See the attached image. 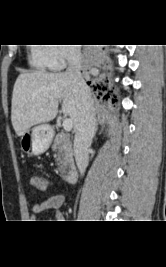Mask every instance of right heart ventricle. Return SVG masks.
<instances>
[{
	"label": "right heart ventricle",
	"mask_w": 166,
	"mask_h": 267,
	"mask_svg": "<svg viewBox=\"0 0 166 267\" xmlns=\"http://www.w3.org/2000/svg\"><path fill=\"white\" fill-rule=\"evenodd\" d=\"M28 63L33 69L39 71L52 68L50 47L46 44H32L28 52Z\"/></svg>",
	"instance_id": "right-heart-ventricle-1"
}]
</instances>
